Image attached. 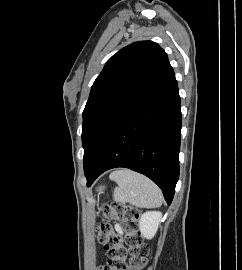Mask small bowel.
Listing matches in <instances>:
<instances>
[{"instance_id":"c3829d8e","label":"small bowel","mask_w":242,"mask_h":270,"mask_svg":"<svg viewBox=\"0 0 242 270\" xmlns=\"http://www.w3.org/2000/svg\"><path fill=\"white\" fill-rule=\"evenodd\" d=\"M116 230H117L118 232H121V227H120L118 224H116Z\"/></svg>"}]
</instances>
